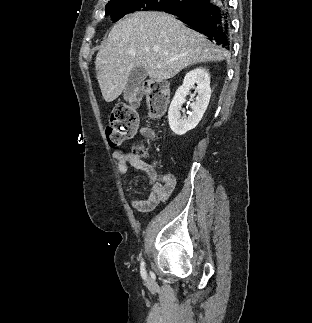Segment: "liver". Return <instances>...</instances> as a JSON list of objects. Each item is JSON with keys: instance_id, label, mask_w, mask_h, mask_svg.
Returning <instances> with one entry per match:
<instances>
[{"instance_id": "1", "label": "liver", "mask_w": 312, "mask_h": 323, "mask_svg": "<svg viewBox=\"0 0 312 323\" xmlns=\"http://www.w3.org/2000/svg\"><path fill=\"white\" fill-rule=\"evenodd\" d=\"M216 60H224L222 50L176 16L135 12L113 26L95 64L102 96L105 102H114L135 66H144L151 80H169L187 66ZM157 64L162 68H156Z\"/></svg>"}]
</instances>
